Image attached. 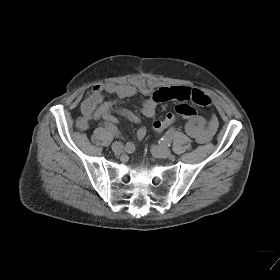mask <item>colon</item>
<instances>
[{
    "label": "colon",
    "instance_id": "5ec220e1",
    "mask_svg": "<svg viewBox=\"0 0 280 280\" xmlns=\"http://www.w3.org/2000/svg\"><path fill=\"white\" fill-rule=\"evenodd\" d=\"M194 115H196V111L191 105L186 103L179 104L175 108V113H169L163 119L156 120L153 123V129L156 132H161L165 128L172 125L179 117L188 119L193 117ZM84 125L85 121L83 120V118L79 119L78 126L83 127Z\"/></svg>",
    "mask_w": 280,
    "mask_h": 280
}]
</instances>
